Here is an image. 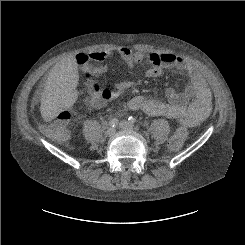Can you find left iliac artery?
Returning a JSON list of instances; mask_svg holds the SVG:
<instances>
[{
	"instance_id": "obj_1",
	"label": "left iliac artery",
	"mask_w": 245,
	"mask_h": 245,
	"mask_svg": "<svg viewBox=\"0 0 245 245\" xmlns=\"http://www.w3.org/2000/svg\"><path fill=\"white\" fill-rule=\"evenodd\" d=\"M128 121H129L130 123H135V122H136V118L133 117V116H130V117L128 118Z\"/></svg>"
}]
</instances>
